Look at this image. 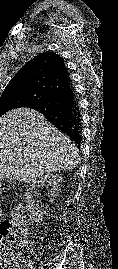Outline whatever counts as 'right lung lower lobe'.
Wrapping results in <instances>:
<instances>
[{"instance_id":"right-lung-lower-lobe-1","label":"right lung lower lobe","mask_w":118,"mask_h":269,"mask_svg":"<svg viewBox=\"0 0 118 269\" xmlns=\"http://www.w3.org/2000/svg\"><path fill=\"white\" fill-rule=\"evenodd\" d=\"M27 107L42 113L49 122L78 144V148L80 147L81 114L72 83L61 91Z\"/></svg>"}]
</instances>
